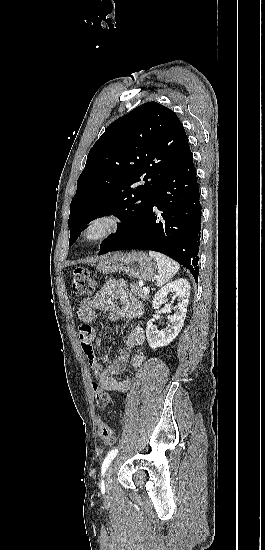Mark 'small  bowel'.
I'll list each match as a JSON object with an SVG mask.
<instances>
[{
  "label": "small bowel",
  "instance_id": "c3829d8e",
  "mask_svg": "<svg viewBox=\"0 0 265 550\" xmlns=\"http://www.w3.org/2000/svg\"><path fill=\"white\" fill-rule=\"evenodd\" d=\"M99 312H106L108 318L115 323L121 320L133 322L143 315L144 306L129 291L124 281L110 280L93 297L83 300L78 310L79 319L86 323L80 328V339L94 378L93 393L94 386L105 393L128 391L131 387V380L129 378L117 379L116 376L125 371L129 361L135 368L144 363L145 355L131 356L132 348L144 344V331L139 326L131 325L124 338V348L112 362L105 364L95 351V346H100L102 340L97 336L94 328L89 325L97 319Z\"/></svg>",
  "mask_w": 265,
  "mask_h": 550
}]
</instances>
